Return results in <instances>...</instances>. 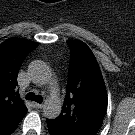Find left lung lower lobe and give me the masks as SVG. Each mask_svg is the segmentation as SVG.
I'll list each match as a JSON object with an SVG mask.
<instances>
[{
	"instance_id": "1",
	"label": "left lung lower lobe",
	"mask_w": 135,
	"mask_h": 135,
	"mask_svg": "<svg viewBox=\"0 0 135 135\" xmlns=\"http://www.w3.org/2000/svg\"><path fill=\"white\" fill-rule=\"evenodd\" d=\"M47 124H48L49 133L51 135H63L60 132H58L55 128H53V126L50 123V120H48V119H47Z\"/></svg>"
}]
</instances>
